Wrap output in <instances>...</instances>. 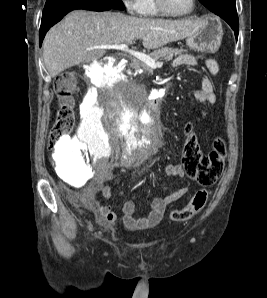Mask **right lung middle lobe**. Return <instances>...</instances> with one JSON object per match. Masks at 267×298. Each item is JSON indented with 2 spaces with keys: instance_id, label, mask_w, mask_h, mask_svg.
<instances>
[{
  "instance_id": "obj_1",
  "label": "right lung middle lobe",
  "mask_w": 267,
  "mask_h": 298,
  "mask_svg": "<svg viewBox=\"0 0 267 298\" xmlns=\"http://www.w3.org/2000/svg\"><path fill=\"white\" fill-rule=\"evenodd\" d=\"M65 1H68V0H46L43 14L49 12L52 8L56 7L57 5L65 2ZM94 1H97L100 4L109 5V6L113 7L114 9H118V10L125 9L122 0H94Z\"/></svg>"
}]
</instances>
